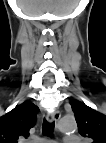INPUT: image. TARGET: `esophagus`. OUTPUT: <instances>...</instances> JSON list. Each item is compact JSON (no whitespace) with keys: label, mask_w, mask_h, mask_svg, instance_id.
I'll use <instances>...</instances> for the list:
<instances>
[{"label":"esophagus","mask_w":106,"mask_h":143,"mask_svg":"<svg viewBox=\"0 0 106 143\" xmlns=\"http://www.w3.org/2000/svg\"><path fill=\"white\" fill-rule=\"evenodd\" d=\"M60 118H61V113H60L59 110H56L53 114L47 115V121L49 123L54 122L55 125H57V123L60 120Z\"/></svg>","instance_id":"34e87169"}]
</instances>
